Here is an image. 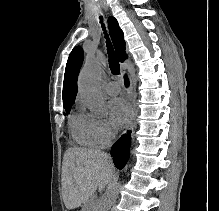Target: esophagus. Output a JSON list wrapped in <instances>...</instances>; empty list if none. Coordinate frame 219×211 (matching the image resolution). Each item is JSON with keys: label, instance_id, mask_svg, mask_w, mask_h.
<instances>
[{"label": "esophagus", "instance_id": "obj_1", "mask_svg": "<svg viewBox=\"0 0 219 211\" xmlns=\"http://www.w3.org/2000/svg\"><path fill=\"white\" fill-rule=\"evenodd\" d=\"M128 78H129V76H128ZM126 99H127V103H128V109H129V120L127 123V127L129 130H132L134 127V122H135V108H134L133 88H132L131 83L126 89Z\"/></svg>", "mask_w": 219, "mask_h": 211}]
</instances>
